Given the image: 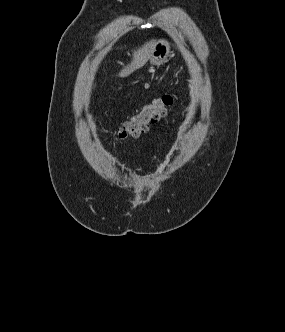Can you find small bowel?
<instances>
[{"label": "small bowel", "mask_w": 285, "mask_h": 332, "mask_svg": "<svg viewBox=\"0 0 285 332\" xmlns=\"http://www.w3.org/2000/svg\"><path fill=\"white\" fill-rule=\"evenodd\" d=\"M154 121L155 122H162L163 121V116L162 115H155L154 116Z\"/></svg>", "instance_id": "small-bowel-1"}]
</instances>
